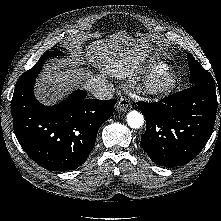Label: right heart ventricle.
Returning <instances> with one entry per match:
<instances>
[{
    "label": "right heart ventricle",
    "mask_w": 221,
    "mask_h": 221,
    "mask_svg": "<svg viewBox=\"0 0 221 221\" xmlns=\"http://www.w3.org/2000/svg\"><path fill=\"white\" fill-rule=\"evenodd\" d=\"M168 65L164 64V63H156L152 66V71L153 72H161V71H165L168 70Z\"/></svg>",
    "instance_id": "1"
}]
</instances>
